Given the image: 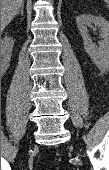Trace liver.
Returning a JSON list of instances; mask_svg holds the SVG:
<instances>
[{"instance_id":"liver-1","label":"liver","mask_w":109,"mask_h":170,"mask_svg":"<svg viewBox=\"0 0 109 170\" xmlns=\"http://www.w3.org/2000/svg\"><path fill=\"white\" fill-rule=\"evenodd\" d=\"M24 0H1V28L4 29L20 10Z\"/></svg>"}]
</instances>
